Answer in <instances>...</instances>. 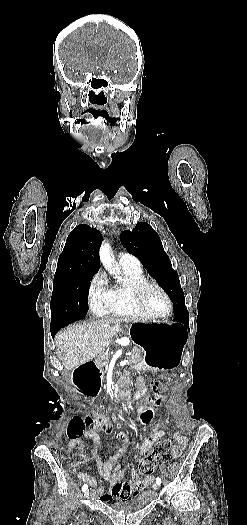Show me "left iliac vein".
<instances>
[{"label":"left iliac vein","mask_w":247,"mask_h":525,"mask_svg":"<svg viewBox=\"0 0 247 525\" xmlns=\"http://www.w3.org/2000/svg\"><path fill=\"white\" fill-rule=\"evenodd\" d=\"M153 488H154V490H158L159 489V485L158 484H154Z\"/></svg>","instance_id":"obj_1"}]
</instances>
